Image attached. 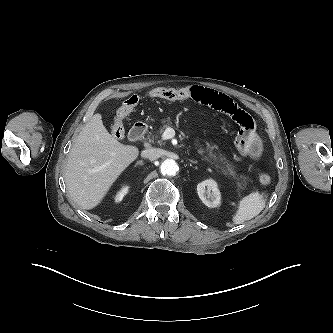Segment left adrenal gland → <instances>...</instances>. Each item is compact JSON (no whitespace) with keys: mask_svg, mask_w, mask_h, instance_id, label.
I'll return each mask as SVG.
<instances>
[{"mask_svg":"<svg viewBox=\"0 0 333 333\" xmlns=\"http://www.w3.org/2000/svg\"><path fill=\"white\" fill-rule=\"evenodd\" d=\"M191 163H194V164H196L197 163V161H194V160H189Z\"/></svg>","mask_w":333,"mask_h":333,"instance_id":"a2214340","label":"left adrenal gland"}]
</instances>
